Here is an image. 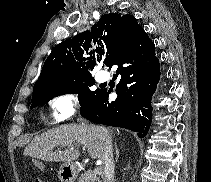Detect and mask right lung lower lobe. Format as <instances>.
I'll list each match as a JSON object with an SVG mask.
<instances>
[{
  "instance_id": "obj_1",
  "label": "right lung lower lobe",
  "mask_w": 211,
  "mask_h": 182,
  "mask_svg": "<svg viewBox=\"0 0 211 182\" xmlns=\"http://www.w3.org/2000/svg\"><path fill=\"white\" fill-rule=\"evenodd\" d=\"M117 66V98L108 101L110 91L98 89L81 106V115L91 122L127 128L144 137L152 122L151 96L160 79L159 60L155 45L146 32L140 34L116 51L112 63Z\"/></svg>"
}]
</instances>
